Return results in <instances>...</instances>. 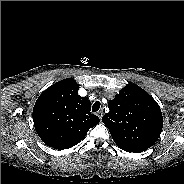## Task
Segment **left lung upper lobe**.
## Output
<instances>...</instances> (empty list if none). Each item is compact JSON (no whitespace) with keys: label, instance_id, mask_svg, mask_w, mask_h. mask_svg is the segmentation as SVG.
<instances>
[{"label":"left lung upper lobe","instance_id":"left-lung-upper-lobe-1","mask_svg":"<svg viewBox=\"0 0 184 184\" xmlns=\"http://www.w3.org/2000/svg\"><path fill=\"white\" fill-rule=\"evenodd\" d=\"M110 111L102 117L115 143L124 151L140 153L159 138L163 127L161 109L145 90L129 83L115 99Z\"/></svg>","mask_w":184,"mask_h":184}]
</instances>
